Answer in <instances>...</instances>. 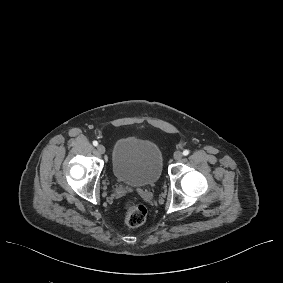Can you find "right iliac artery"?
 I'll list each match as a JSON object with an SVG mask.
<instances>
[{"mask_svg": "<svg viewBox=\"0 0 283 283\" xmlns=\"http://www.w3.org/2000/svg\"><path fill=\"white\" fill-rule=\"evenodd\" d=\"M93 145H94V146H97V145H98V142H97V141H93Z\"/></svg>", "mask_w": 283, "mask_h": 283, "instance_id": "right-iliac-artery-1", "label": "right iliac artery"}]
</instances>
